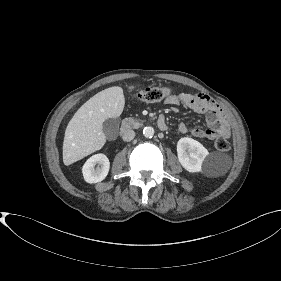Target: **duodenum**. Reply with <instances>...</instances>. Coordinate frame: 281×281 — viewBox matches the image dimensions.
I'll list each match as a JSON object with an SVG mask.
<instances>
[{
    "label": "duodenum",
    "instance_id": "duodenum-1",
    "mask_svg": "<svg viewBox=\"0 0 281 281\" xmlns=\"http://www.w3.org/2000/svg\"><path fill=\"white\" fill-rule=\"evenodd\" d=\"M157 126L161 131H165L168 129V125L166 121L163 118H159L157 120ZM131 128V123L130 122H124L121 126V132L124 133L128 131Z\"/></svg>",
    "mask_w": 281,
    "mask_h": 281
}]
</instances>
